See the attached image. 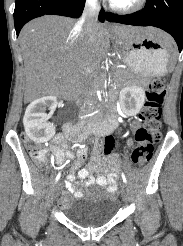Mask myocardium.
<instances>
[{
	"label": "myocardium",
	"instance_id": "obj_1",
	"mask_svg": "<svg viewBox=\"0 0 183 246\" xmlns=\"http://www.w3.org/2000/svg\"><path fill=\"white\" fill-rule=\"evenodd\" d=\"M147 0H134L132 3L128 5H121L116 3L115 1L110 2V8L121 14H131L141 10L146 4Z\"/></svg>",
	"mask_w": 183,
	"mask_h": 246
}]
</instances>
